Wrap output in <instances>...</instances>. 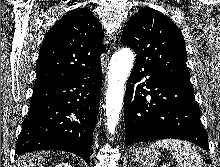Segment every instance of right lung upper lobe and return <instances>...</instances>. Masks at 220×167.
<instances>
[{"label":"right lung upper lobe","mask_w":220,"mask_h":167,"mask_svg":"<svg viewBox=\"0 0 220 167\" xmlns=\"http://www.w3.org/2000/svg\"><path fill=\"white\" fill-rule=\"evenodd\" d=\"M103 37L102 27L89 9L68 12L43 39L34 88L70 79L101 65Z\"/></svg>","instance_id":"right-lung-upper-lobe-1"}]
</instances>
